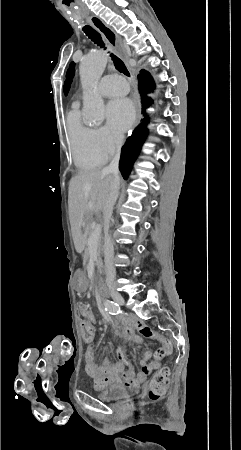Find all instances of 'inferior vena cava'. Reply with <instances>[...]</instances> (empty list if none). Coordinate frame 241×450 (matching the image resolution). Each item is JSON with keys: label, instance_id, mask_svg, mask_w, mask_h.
<instances>
[{"label": "inferior vena cava", "instance_id": "inferior-vena-cava-1", "mask_svg": "<svg viewBox=\"0 0 241 450\" xmlns=\"http://www.w3.org/2000/svg\"><path fill=\"white\" fill-rule=\"evenodd\" d=\"M124 136H119L117 138V152L108 168H104L103 174H114V182L111 188L110 198L106 204V212L109 216V220L112 216L113 206L118 198V190H119V160H120V152L121 146L123 144ZM109 220L107 224H104V260H105V272H106V282L108 286H111L115 280L116 270L114 268V246L113 242L109 236Z\"/></svg>", "mask_w": 241, "mask_h": 450}]
</instances>
